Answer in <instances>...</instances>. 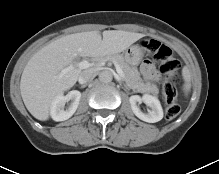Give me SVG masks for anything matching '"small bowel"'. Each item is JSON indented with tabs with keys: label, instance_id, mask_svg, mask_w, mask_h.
<instances>
[{
	"label": "small bowel",
	"instance_id": "c3829d8e",
	"mask_svg": "<svg viewBox=\"0 0 219 174\" xmlns=\"http://www.w3.org/2000/svg\"><path fill=\"white\" fill-rule=\"evenodd\" d=\"M141 71L144 77L149 81H158L159 80V72L155 66V64L150 60H145L142 63Z\"/></svg>",
	"mask_w": 219,
	"mask_h": 174
}]
</instances>
